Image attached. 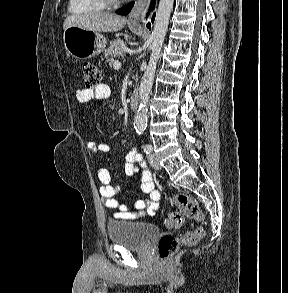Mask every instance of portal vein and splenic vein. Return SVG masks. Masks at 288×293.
Instances as JSON below:
<instances>
[{"label":"portal vein and splenic vein","instance_id":"18ae733b","mask_svg":"<svg viewBox=\"0 0 288 293\" xmlns=\"http://www.w3.org/2000/svg\"><path fill=\"white\" fill-rule=\"evenodd\" d=\"M121 66H122V64H121V62H119V61H115V62L113 63V67H114V69H119V68H121Z\"/></svg>","mask_w":288,"mask_h":293}]
</instances>
